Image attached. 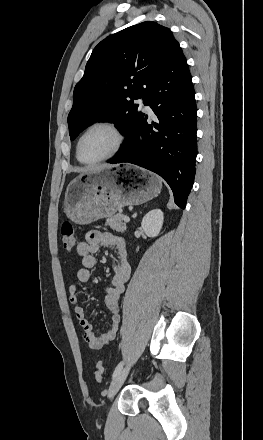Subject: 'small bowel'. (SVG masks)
<instances>
[{"label": "small bowel", "mask_w": 263, "mask_h": 440, "mask_svg": "<svg viewBox=\"0 0 263 440\" xmlns=\"http://www.w3.org/2000/svg\"><path fill=\"white\" fill-rule=\"evenodd\" d=\"M102 247L114 248L117 258L112 263L113 274L105 295V304L112 313L111 325L102 334H97L93 324L87 318L85 309L79 305L77 283H87L90 280V271L96 265L95 254ZM76 253L81 258L82 267L77 271V283H71L69 286V301L74 305L75 314L84 331L85 341L92 349H102L115 339L121 321L120 297L131 271L127 245L121 236L93 230L86 234L85 241L77 245Z\"/></svg>", "instance_id": "1"}]
</instances>
